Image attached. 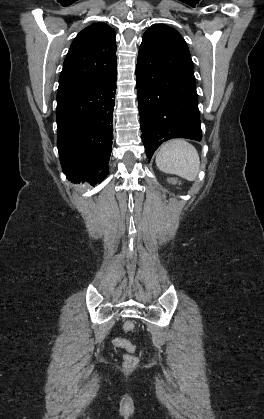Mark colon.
<instances>
[{
	"instance_id": "5ec220e1",
	"label": "colon",
	"mask_w": 264,
	"mask_h": 419,
	"mask_svg": "<svg viewBox=\"0 0 264 419\" xmlns=\"http://www.w3.org/2000/svg\"><path fill=\"white\" fill-rule=\"evenodd\" d=\"M124 329L127 332H132L135 329V324L132 321H128L125 323ZM114 343L116 346L123 348L128 352L124 355V366L129 369L137 366L139 360L137 356L134 355L135 346L129 341L122 338H117Z\"/></svg>"
}]
</instances>
